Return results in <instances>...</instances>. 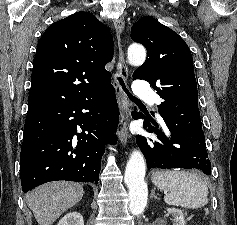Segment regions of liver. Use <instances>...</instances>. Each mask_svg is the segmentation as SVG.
I'll return each instance as SVG.
<instances>
[{
  "label": "liver",
  "instance_id": "obj_1",
  "mask_svg": "<svg viewBox=\"0 0 237 225\" xmlns=\"http://www.w3.org/2000/svg\"><path fill=\"white\" fill-rule=\"evenodd\" d=\"M83 186L74 182H49L26 195L28 207L39 225H52L83 197Z\"/></svg>",
  "mask_w": 237,
  "mask_h": 225
}]
</instances>
